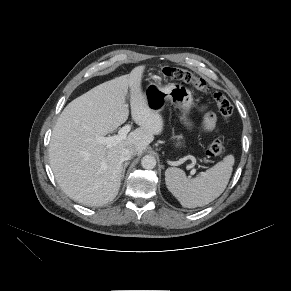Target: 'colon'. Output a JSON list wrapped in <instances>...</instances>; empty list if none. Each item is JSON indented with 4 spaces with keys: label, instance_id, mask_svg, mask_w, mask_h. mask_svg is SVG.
<instances>
[{
    "label": "colon",
    "instance_id": "obj_1",
    "mask_svg": "<svg viewBox=\"0 0 291 291\" xmlns=\"http://www.w3.org/2000/svg\"><path fill=\"white\" fill-rule=\"evenodd\" d=\"M161 74L167 79L181 81L192 85L200 91L210 92V88L203 78H200L187 70L174 67H165L161 70ZM212 96L220 115L223 118H229L233 113V106L228 98L221 92H213ZM224 151L225 146L223 141L220 139H215L208 146L207 154L215 157L223 154Z\"/></svg>",
    "mask_w": 291,
    "mask_h": 291
}]
</instances>
